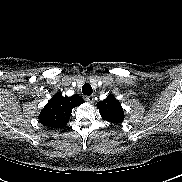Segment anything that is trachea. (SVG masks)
Returning a JSON list of instances; mask_svg holds the SVG:
<instances>
[{"label":"trachea","mask_w":182,"mask_h":182,"mask_svg":"<svg viewBox=\"0 0 182 182\" xmlns=\"http://www.w3.org/2000/svg\"><path fill=\"white\" fill-rule=\"evenodd\" d=\"M92 92H93V89H92V86L89 83H85L82 86V93L84 95L90 96L92 94Z\"/></svg>","instance_id":"obj_1"}]
</instances>
